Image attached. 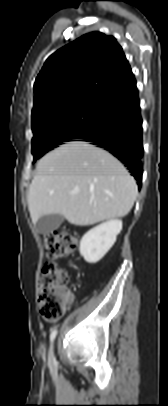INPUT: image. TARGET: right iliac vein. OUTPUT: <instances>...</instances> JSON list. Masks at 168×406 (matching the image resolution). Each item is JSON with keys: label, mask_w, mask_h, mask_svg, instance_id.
Masks as SVG:
<instances>
[{"label": "right iliac vein", "mask_w": 168, "mask_h": 406, "mask_svg": "<svg viewBox=\"0 0 168 406\" xmlns=\"http://www.w3.org/2000/svg\"><path fill=\"white\" fill-rule=\"evenodd\" d=\"M49 361H50V362L53 361V348H51V350H50Z\"/></svg>", "instance_id": "1"}]
</instances>
